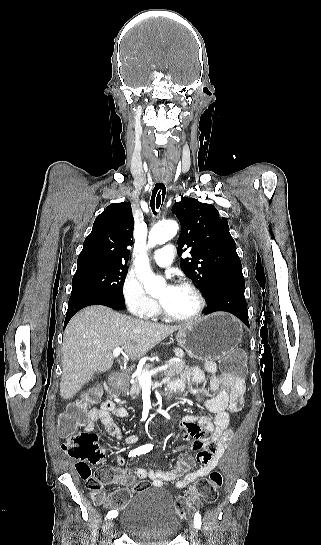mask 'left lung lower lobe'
<instances>
[{
    "instance_id": "left-lung-lower-lobe-1",
    "label": "left lung lower lobe",
    "mask_w": 321,
    "mask_h": 545,
    "mask_svg": "<svg viewBox=\"0 0 321 545\" xmlns=\"http://www.w3.org/2000/svg\"><path fill=\"white\" fill-rule=\"evenodd\" d=\"M244 291L245 281L242 273L218 279L212 284L210 292L204 296L208 303L204 314L215 311L230 312L249 327Z\"/></svg>"
}]
</instances>
